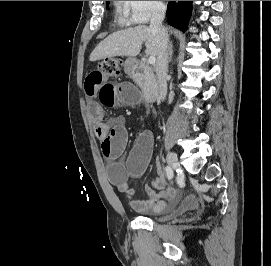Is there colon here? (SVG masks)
<instances>
[{"label":"colon","instance_id":"5ec220e1","mask_svg":"<svg viewBox=\"0 0 271 266\" xmlns=\"http://www.w3.org/2000/svg\"><path fill=\"white\" fill-rule=\"evenodd\" d=\"M99 69L108 77L120 73V63L115 59H106L99 64Z\"/></svg>","mask_w":271,"mask_h":266}]
</instances>
